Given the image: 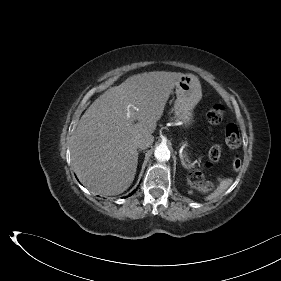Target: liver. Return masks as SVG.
I'll list each match as a JSON object with an SVG mask.
<instances>
[{"mask_svg": "<svg viewBox=\"0 0 281 281\" xmlns=\"http://www.w3.org/2000/svg\"><path fill=\"white\" fill-rule=\"evenodd\" d=\"M183 73L136 74L100 95L82 115L72 136L74 171L92 192L118 195L132 184L137 140L152 135ZM133 117L127 118V107ZM137 121V123H134Z\"/></svg>", "mask_w": 281, "mask_h": 281, "instance_id": "obj_1", "label": "liver"}]
</instances>
